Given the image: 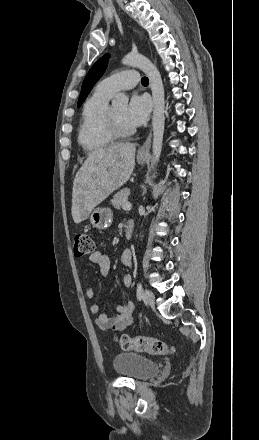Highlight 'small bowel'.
Returning a JSON list of instances; mask_svg holds the SVG:
<instances>
[{"mask_svg":"<svg viewBox=\"0 0 259 440\" xmlns=\"http://www.w3.org/2000/svg\"><path fill=\"white\" fill-rule=\"evenodd\" d=\"M89 260L91 263L95 264L99 273L102 276H107L111 269L110 258L107 254L100 250L94 251ZM132 261V252L130 249H125L121 255V262L125 266H129ZM122 283L125 287H130L132 284V277L126 274L122 278ZM85 296L89 299L93 298L95 293L94 290L88 286L84 288ZM90 311L97 315V323L104 330H114L117 332L123 331L128 326H131L135 319L133 317L134 304L132 301H128L116 308L117 314L114 316H109L105 313H101V308L97 304H93L90 307Z\"/></svg>","mask_w":259,"mask_h":440,"instance_id":"small-bowel-1","label":"small bowel"}]
</instances>
